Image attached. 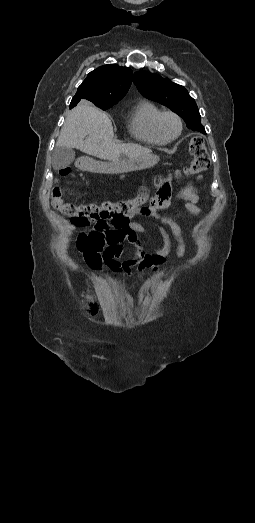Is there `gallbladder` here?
I'll return each mask as SVG.
<instances>
[{"mask_svg": "<svg viewBox=\"0 0 255 523\" xmlns=\"http://www.w3.org/2000/svg\"><path fill=\"white\" fill-rule=\"evenodd\" d=\"M124 156V154H122ZM121 156V158H122ZM75 160V152L72 148H64V146H56L52 152V166L53 170H63Z\"/></svg>", "mask_w": 255, "mask_h": 523, "instance_id": "obj_1", "label": "gallbladder"}]
</instances>
